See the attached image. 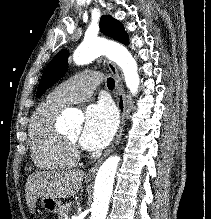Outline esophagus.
<instances>
[{"label":"esophagus","instance_id":"esophagus-1","mask_svg":"<svg viewBox=\"0 0 211 219\" xmlns=\"http://www.w3.org/2000/svg\"><path fill=\"white\" fill-rule=\"evenodd\" d=\"M106 64H107L109 71L111 72V74L113 75V77L115 79L116 100H117V106H118V109L120 112V126H119L118 132L116 134V137H115L114 141L112 142V144L110 145V147L104 152V154L96 162V164L89 170V172L87 174L89 177L93 176L97 172L102 161L114 150L116 145L119 143L121 136H122L124 126H125L126 95H125L124 87L122 84V80H121V77L119 75V72H118L116 65L109 60L106 61Z\"/></svg>","mask_w":211,"mask_h":219}]
</instances>
